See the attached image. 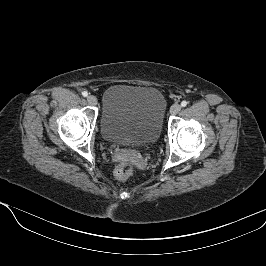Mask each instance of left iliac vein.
Instances as JSON below:
<instances>
[{
  "label": "left iliac vein",
  "instance_id": "left-iliac-vein-1",
  "mask_svg": "<svg viewBox=\"0 0 266 266\" xmlns=\"http://www.w3.org/2000/svg\"><path fill=\"white\" fill-rule=\"evenodd\" d=\"M180 110H181V105L178 104V103H175V104H173V105L171 106V108H170V113H171L172 115H176V114L179 113Z\"/></svg>",
  "mask_w": 266,
  "mask_h": 266
}]
</instances>
